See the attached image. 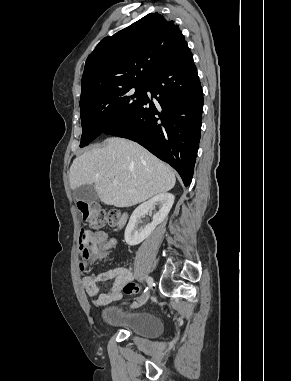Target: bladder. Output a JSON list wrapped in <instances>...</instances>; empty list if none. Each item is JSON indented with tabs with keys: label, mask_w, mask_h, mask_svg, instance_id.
<instances>
[{
	"label": "bladder",
	"mask_w": 291,
	"mask_h": 381,
	"mask_svg": "<svg viewBox=\"0 0 291 381\" xmlns=\"http://www.w3.org/2000/svg\"><path fill=\"white\" fill-rule=\"evenodd\" d=\"M103 322L111 329L124 330L133 335L152 339L163 331L160 318L151 312H127L121 305H109L103 309Z\"/></svg>",
	"instance_id": "31cf9c89"
}]
</instances>
